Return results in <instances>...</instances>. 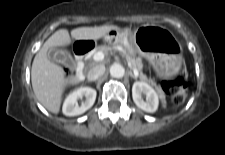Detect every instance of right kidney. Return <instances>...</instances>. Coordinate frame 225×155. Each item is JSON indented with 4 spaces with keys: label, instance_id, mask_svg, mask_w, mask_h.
I'll use <instances>...</instances> for the list:
<instances>
[{
    "label": "right kidney",
    "instance_id": "right-kidney-1",
    "mask_svg": "<svg viewBox=\"0 0 225 155\" xmlns=\"http://www.w3.org/2000/svg\"><path fill=\"white\" fill-rule=\"evenodd\" d=\"M96 90L90 87H82L69 94L63 104V114L77 116L91 108L96 99ZM85 97V101L78 105V100Z\"/></svg>",
    "mask_w": 225,
    "mask_h": 155
}]
</instances>
